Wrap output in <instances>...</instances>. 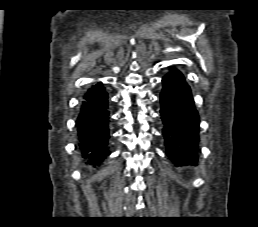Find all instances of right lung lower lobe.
<instances>
[{
	"mask_svg": "<svg viewBox=\"0 0 258 227\" xmlns=\"http://www.w3.org/2000/svg\"><path fill=\"white\" fill-rule=\"evenodd\" d=\"M76 127L82 157L100 164L109 155L110 138L108 94L101 82L84 93Z\"/></svg>",
	"mask_w": 258,
	"mask_h": 227,
	"instance_id": "right-lung-lower-lobe-1",
	"label": "right lung lower lobe"
}]
</instances>
